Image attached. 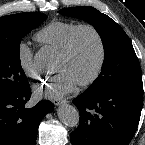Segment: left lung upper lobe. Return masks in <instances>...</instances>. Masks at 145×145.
I'll list each match as a JSON object with an SVG mask.
<instances>
[{"label": "left lung upper lobe", "mask_w": 145, "mask_h": 145, "mask_svg": "<svg viewBox=\"0 0 145 145\" xmlns=\"http://www.w3.org/2000/svg\"><path fill=\"white\" fill-rule=\"evenodd\" d=\"M59 13L87 21L94 26L102 39L105 59L101 73L86 91L95 93L142 83L138 58L131 40L120 25L93 7L64 8Z\"/></svg>", "instance_id": "left-lung-upper-lobe-1"}]
</instances>
